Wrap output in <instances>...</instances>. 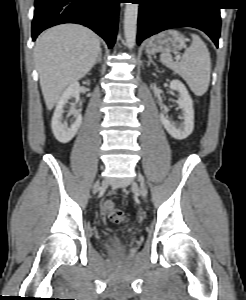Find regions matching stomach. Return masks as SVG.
I'll use <instances>...</instances> for the list:
<instances>
[{
  "label": "stomach",
  "instance_id": "stomach-1",
  "mask_svg": "<svg viewBox=\"0 0 246 300\" xmlns=\"http://www.w3.org/2000/svg\"><path fill=\"white\" fill-rule=\"evenodd\" d=\"M187 39L176 30H168L153 36L146 43V52L149 55L155 53L177 52L186 46Z\"/></svg>",
  "mask_w": 246,
  "mask_h": 300
}]
</instances>
